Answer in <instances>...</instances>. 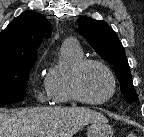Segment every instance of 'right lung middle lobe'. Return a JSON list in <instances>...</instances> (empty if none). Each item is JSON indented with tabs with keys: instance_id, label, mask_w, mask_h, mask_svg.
<instances>
[{
	"instance_id": "1",
	"label": "right lung middle lobe",
	"mask_w": 144,
	"mask_h": 137,
	"mask_svg": "<svg viewBox=\"0 0 144 137\" xmlns=\"http://www.w3.org/2000/svg\"><path fill=\"white\" fill-rule=\"evenodd\" d=\"M35 59L0 63V106L16 103L26 95L25 86Z\"/></svg>"
}]
</instances>
